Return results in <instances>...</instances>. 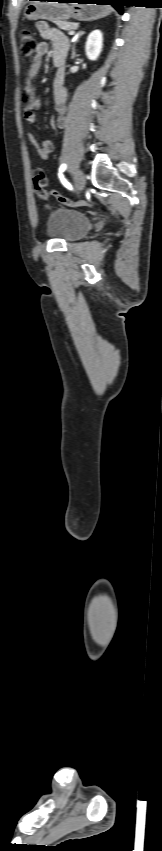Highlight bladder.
I'll list each match as a JSON object with an SVG mask.
<instances>
[{"mask_svg":"<svg viewBox=\"0 0 162 851\" xmlns=\"http://www.w3.org/2000/svg\"><path fill=\"white\" fill-rule=\"evenodd\" d=\"M90 227L91 221L84 213L66 207L52 209L46 221V233L66 242L82 238Z\"/></svg>","mask_w":162,"mask_h":851,"instance_id":"1","label":"bladder"}]
</instances>
